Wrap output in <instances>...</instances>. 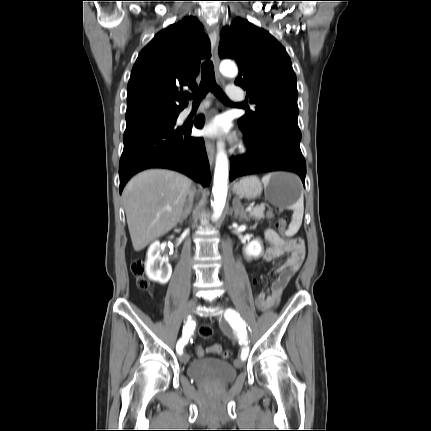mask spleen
I'll return each instance as SVG.
<instances>
[{
  "instance_id": "1",
  "label": "spleen",
  "mask_w": 431,
  "mask_h": 431,
  "mask_svg": "<svg viewBox=\"0 0 431 431\" xmlns=\"http://www.w3.org/2000/svg\"><path fill=\"white\" fill-rule=\"evenodd\" d=\"M272 174H267L262 178V182L267 184L270 180ZM293 215L292 220L287 231V235H294L300 228L302 224L303 214H304V198L303 194L299 200L292 206Z\"/></svg>"
}]
</instances>
